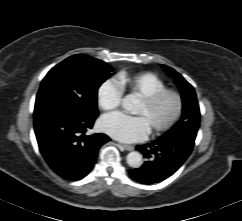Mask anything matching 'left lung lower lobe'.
<instances>
[{
	"label": "left lung lower lobe",
	"mask_w": 242,
	"mask_h": 221,
	"mask_svg": "<svg viewBox=\"0 0 242 221\" xmlns=\"http://www.w3.org/2000/svg\"><path fill=\"white\" fill-rule=\"evenodd\" d=\"M194 136L161 137L157 141L136 148L146 162L129 171L141 184H154L173 175L186 161L194 147Z\"/></svg>",
	"instance_id": "0a47b994"
}]
</instances>
